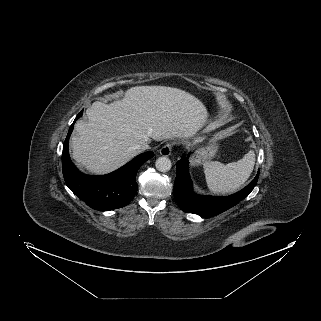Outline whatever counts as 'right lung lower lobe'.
Instances as JSON below:
<instances>
[{"label": "right lung lower lobe", "mask_w": 321, "mask_h": 321, "mask_svg": "<svg viewBox=\"0 0 321 321\" xmlns=\"http://www.w3.org/2000/svg\"><path fill=\"white\" fill-rule=\"evenodd\" d=\"M83 114L81 111L70 126L63 144L62 171L69 189L95 210L107 211L128 205L134 198L138 185L136 174L140 166L153 157V152L142 153L120 169L103 176H88L79 172L69 157V137L74 123Z\"/></svg>", "instance_id": "1"}]
</instances>
